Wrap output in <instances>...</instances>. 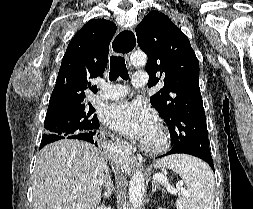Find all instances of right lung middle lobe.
Masks as SVG:
<instances>
[{
	"label": "right lung middle lobe",
	"instance_id": "right-lung-middle-lobe-1",
	"mask_svg": "<svg viewBox=\"0 0 253 209\" xmlns=\"http://www.w3.org/2000/svg\"><path fill=\"white\" fill-rule=\"evenodd\" d=\"M93 106L82 105L57 109L46 115L40 148L60 139H72L74 135L87 133L99 121Z\"/></svg>",
	"mask_w": 253,
	"mask_h": 209
}]
</instances>
